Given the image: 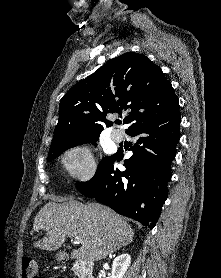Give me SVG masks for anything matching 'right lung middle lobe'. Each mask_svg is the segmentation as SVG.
Here are the masks:
<instances>
[{
    "mask_svg": "<svg viewBox=\"0 0 221 278\" xmlns=\"http://www.w3.org/2000/svg\"><path fill=\"white\" fill-rule=\"evenodd\" d=\"M98 137H99V135H92V136L84 137L80 140H77V141H74V142H71V143H65V144L57 145L56 147H53V148L49 149V154H48L47 161H52L57 156H59L63 151H65L69 148H72L76 145H79V144L93 143L96 146L95 142L98 140ZM112 158H113V156L105 157L101 161L100 165L98 166L95 176L90 181L79 183L78 186H77L78 189H81L82 187L89 184L101 172V170L111 161Z\"/></svg>",
    "mask_w": 221,
    "mask_h": 278,
    "instance_id": "obj_1",
    "label": "right lung middle lobe"
}]
</instances>
